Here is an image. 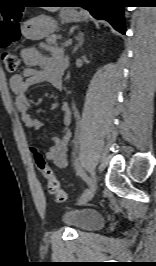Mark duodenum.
<instances>
[{"label":"duodenum","instance_id":"duodenum-1","mask_svg":"<svg viewBox=\"0 0 156 266\" xmlns=\"http://www.w3.org/2000/svg\"><path fill=\"white\" fill-rule=\"evenodd\" d=\"M67 65H68V63L66 62L65 66H67Z\"/></svg>","mask_w":156,"mask_h":266}]
</instances>
